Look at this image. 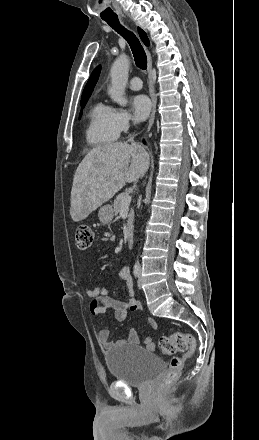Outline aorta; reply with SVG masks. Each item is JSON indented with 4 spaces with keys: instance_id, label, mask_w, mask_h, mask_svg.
<instances>
[{
    "instance_id": "obj_1",
    "label": "aorta",
    "mask_w": 259,
    "mask_h": 440,
    "mask_svg": "<svg viewBox=\"0 0 259 440\" xmlns=\"http://www.w3.org/2000/svg\"><path fill=\"white\" fill-rule=\"evenodd\" d=\"M129 66L128 57L121 55L113 62L110 70L111 86L108 93L112 101L123 107L127 105L125 87L128 81Z\"/></svg>"
}]
</instances>
